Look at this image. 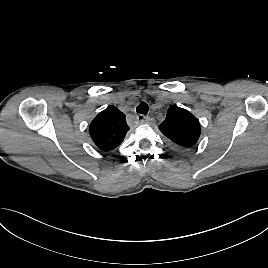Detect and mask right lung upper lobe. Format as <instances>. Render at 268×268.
Returning a JSON list of instances; mask_svg holds the SVG:
<instances>
[{
	"mask_svg": "<svg viewBox=\"0 0 268 268\" xmlns=\"http://www.w3.org/2000/svg\"><path fill=\"white\" fill-rule=\"evenodd\" d=\"M128 131L129 126L124 113L114 106L101 111L89 126V134L93 142L103 151L117 148Z\"/></svg>",
	"mask_w": 268,
	"mask_h": 268,
	"instance_id": "right-lung-upper-lobe-1",
	"label": "right lung upper lobe"
}]
</instances>
